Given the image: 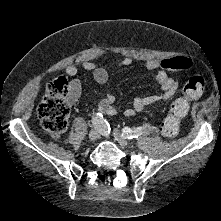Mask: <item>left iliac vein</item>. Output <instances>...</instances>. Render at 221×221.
Instances as JSON below:
<instances>
[{"label": "left iliac vein", "instance_id": "left-iliac-vein-1", "mask_svg": "<svg viewBox=\"0 0 221 221\" xmlns=\"http://www.w3.org/2000/svg\"><path fill=\"white\" fill-rule=\"evenodd\" d=\"M113 136L120 143L121 146L126 147L129 145V141L124 138V136L118 129L113 130Z\"/></svg>", "mask_w": 221, "mask_h": 221}]
</instances>
